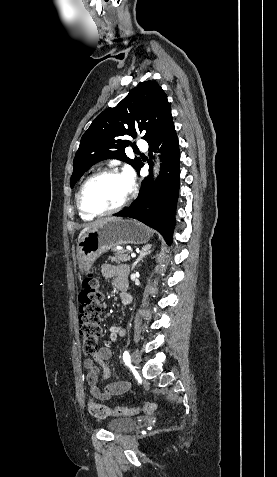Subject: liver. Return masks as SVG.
Returning <instances> with one entry per match:
<instances>
[{"mask_svg": "<svg viewBox=\"0 0 277 477\" xmlns=\"http://www.w3.org/2000/svg\"><path fill=\"white\" fill-rule=\"evenodd\" d=\"M110 219H117V218H115V217H113V218H108V219H104V220L98 221V222H96V223H93V224H91L90 226L84 228V229L80 232L79 237H80L82 234H84L85 232H87L88 230H90L91 228H93V227L97 226L98 224H100L101 222H103V221H105V220H110Z\"/></svg>", "mask_w": 277, "mask_h": 477, "instance_id": "1", "label": "liver"}]
</instances>
